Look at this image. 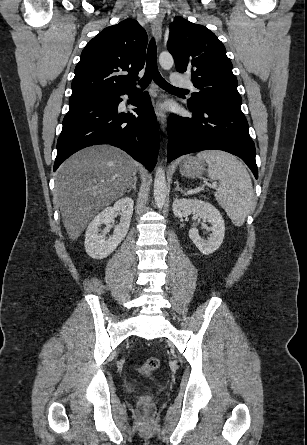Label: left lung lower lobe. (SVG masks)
<instances>
[{
	"instance_id": "0a47b994",
	"label": "left lung lower lobe",
	"mask_w": 307,
	"mask_h": 445,
	"mask_svg": "<svg viewBox=\"0 0 307 445\" xmlns=\"http://www.w3.org/2000/svg\"><path fill=\"white\" fill-rule=\"evenodd\" d=\"M189 109L193 118L169 117L168 162L201 150H223L240 157L257 179L255 146L242 111L219 106Z\"/></svg>"
}]
</instances>
